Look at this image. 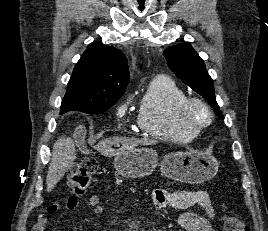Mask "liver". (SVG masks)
<instances>
[{
    "instance_id": "6515ba94",
    "label": "liver",
    "mask_w": 268,
    "mask_h": 231,
    "mask_svg": "<svg viewBox=\"0 0 268 231\" xmlns=\"http://www.w3.org/2000/svg\"><path fill=\"white\" fill-rule=\"evenodd\" d=\"M79 129L84 132L83 127H79ZM74 138L76 140V144L79 145L82 140L81 136L75 132ZM154 143V140L146 138L134 139L127 137H112L101 140L95 146V149L104 156H113L118 154L120 151L132 150L137 148L139 145H151ZM119 144L122 145L119 150L112 148V146H118ZM76 158V148L72 138L65 136L59 137L53 145L52 158L46 176L47 192H51L54 189L67 170L73 166Z\"/></svg>"
}]
</instances>
